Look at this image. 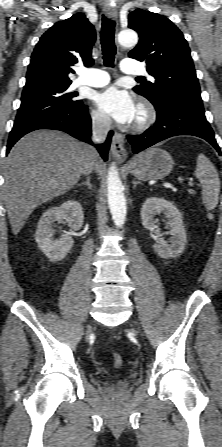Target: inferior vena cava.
<instances>
[{"instance_id":"inferior-vena-cava-1","label":"inferior vena cava","mask_w":222,"mask_h":447,"mask_svg":"<svg viewBox=\"0 0 222 447\" xmlns=\"http://www.w3.org/2000/svg\"><path fill=\"white\" fill-rule=\"evenodd\" d=\"M110 128H111V119L109 117H100L95 121H93L92 124L93 140L97 143L104 142ZM94 153L97 155V152L95 150Z\"/></svg>"}]
</instances>
